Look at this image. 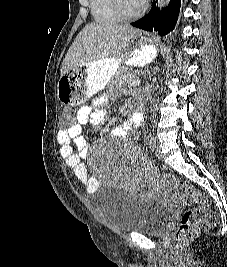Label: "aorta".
Here are the masks:
<instances>
[{"label":"aorta","instance_id":"1","mask_svg":"<svg viewBox=\"0 0 227 267\" xmlns=\"http://www.w3.org/2000/svg\"><path fill=\"white\" fill-rule=\"evenodd\" d=\"M167 0H157V7L162 10L166 5Z\"/></svg>","mask_w":227,"mask_h":267}]
</instances>
